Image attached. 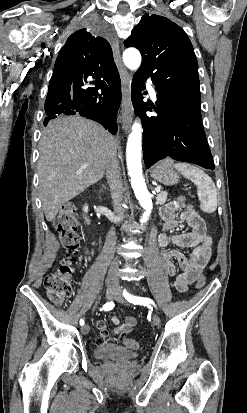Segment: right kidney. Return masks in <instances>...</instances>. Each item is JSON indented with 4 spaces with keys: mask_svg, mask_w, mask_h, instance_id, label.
<instances>
[{
    "mask_svg": "<svg viewBox=\"0 0 247 413\" xmlns=\"http://www.w3.org/2000/svg\"><path fill=\"white\" fill-rule=\"evenodd\" d=\"M82 211H84V213H88L87 204H84V207H83ZM85 219H86L87 225H89V223H90L89 219H87V217H85Z\"/></svg>",
    "mask_w": 247,
    "mask_h": 413,
    "instance_id": "right-kidney-1",
    "label": "right kidney"
}]
</instances>
